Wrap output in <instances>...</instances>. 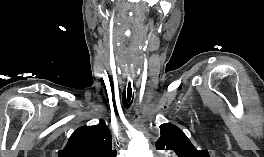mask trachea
<instances>
[{"instance_id":"trachea-1","label":"trachea","mask_w":264,"mask_h":157,"mask_svg":"<svg viewBox=\"0 0 264 157\" xmlns=\"http://www.w3.org/2000/svg\"><path fill=\"white\" fill-rule=\"evenodd\" d=\"M125 88L122 94L123 105L128 108L133 103L134 92H133V78L128 63L125 67Z\"/></svg>"}]
</instances>
